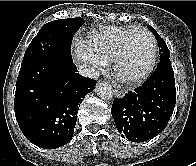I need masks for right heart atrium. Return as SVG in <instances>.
<instances>
[{
    "mask_svg": "<svg viewBox=\"0 0 196 166\" xmlns=\"http://www.w3.org/2000/svg\"><path fill=\"white\" fill-rule=\"evenodd\" d=\"M72 49L75 60L87 67L91 74L103 70L108 64L107 61L92 51L87 41L76 39Z\"/></svg>",
    "mask_w": 196,
    "mask_h": 166,
    "instance_id": "obj_1",
    "label": "right heart atrium"
}]
</instances>
